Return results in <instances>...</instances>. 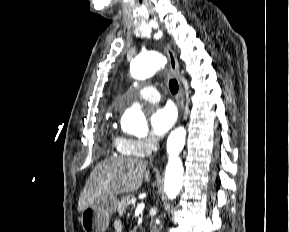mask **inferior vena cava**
I'll list each match as a JSON object with an SVG mask.
<instances>
[{
	"label": "inferior vena cava",
	"mask_w": 289,
	"mask_h": 232,
	"mask_svg": "<svg viewBox=\"0 0 289 232\" xmlns=\"http://www.w3.org/2000/svg\"><path fill=\"white\" fill-rule=\"evenodd\" d=\"M153 141L155 143V148H156L157 139H154ZM150 232H158L157 226L156 225H151V231Z\"/></svg>",
	"instance_id": "inferior-vena-cava-1"
}]
</instances>
